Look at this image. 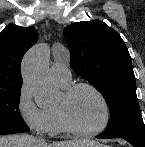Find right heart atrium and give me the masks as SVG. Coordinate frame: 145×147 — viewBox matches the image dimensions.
Returning a JSON list of instances; mask_svg holds the SVG:
<instances>
[{"label": "right heart atrium", "instance_id": "obj_1", "mask_svg": "<svg viewBox=\"0 0 145 147\" xmlns=\"http://www.w3.org/2000/svg\"><path fill=\"white\" fill-rule=\"evenodd\" d=\"M17 111L21 120L38 133H47L50 129V120L47 110L38 105L32 96L31 90L23 83L18 91Z\"/></svg>", "mask_w": 145, "mask_h": 147}]
</instances>
